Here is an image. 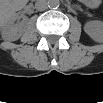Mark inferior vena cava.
Wrapping results in <instances>:
<instances>
[{
	"instance_id": "602c4592",
	"label": "inferior vena cava",
	"mask_w": 103,
	"mask_h": 103,
	"mask_svg": "<svg viewBox=\"0 0 103 103\" xmlns=\"http://www.w3.org/2000/svg\"><path fill=\"white\" fill-rule=\"evenodd\" d=\"M47 2L46 0H37L36 3H35V8L38 10V11H44L45 9H47Z\"/></svg>"
}]
</instances>
